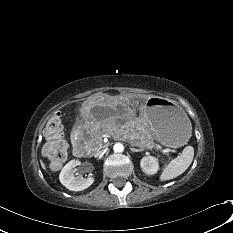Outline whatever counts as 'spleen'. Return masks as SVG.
Masks as SVG:
<instances>
[{"label":"spleen","instance_id":"3e777b00","mask_svg":"<svg viewBox=\"0 0 233 233\" xmlns=\"http://www.w3.org/2000/svg\"><path fill=\"white\" fill-rule=\"evenodd\" d=\"M194 148L186 146L182 154L173 159L164 169L160 176L161 181L173 179L184 173L193 161Z\"/></svg>","mask_w":233,"mask_h":233}]
</instances>
